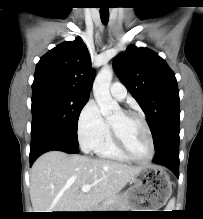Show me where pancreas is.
Instances as JSON below:
<instances>
[{
	"label": "pancreas",
	"mask_w": 203,
	"mask_h": 219,
	"mask_svg": "<svg viewBox=\"0 0 203 219\" xmlns=\"http://www.w3.org/2000/svg\"><path fill=\"white\" fill-rule=\"evenodd\" d=\"M127 207L125 194H119L97 205L95 211H124Z\"/></svg>",
	"instance_id": "1"
}]
</instances>
